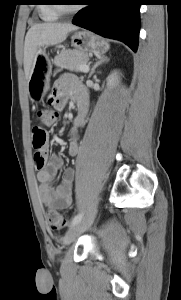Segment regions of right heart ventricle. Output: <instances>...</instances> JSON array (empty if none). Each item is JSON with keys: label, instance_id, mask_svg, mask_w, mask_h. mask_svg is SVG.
Here are the masks:
<instances>
[{"label": "right heart ventricle", "instance_id": "right-heart-ventricle-1", "mask_svg": "<svg viewBox=\"0 0 181 300\" xmlns=\"http://www.w3.org/2000/svg\"><path fill=\"white\" fill-rule=\"evenodd\" d=\"M41 4L37 7V12L41 20L45 22H55L59 19L60 15L54 10L52 1L41 0Z\"/></svg>", "mask_w": 181, "mask_h": 300}]
</instances>
